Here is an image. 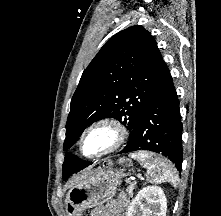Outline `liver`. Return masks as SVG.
<instances>
[{
    "instance_id": "obj_1",
    "label": "liver",
    "mask_w": 221,
    "mask_h": 216,
    "mask_svg": "<svg viewBox=\"0 0 221 216\" xmlns=\"http://www.w3.org/2000/svg\"><path fill=\"white\" fill-rule=\"evenodd\" d=\"M90 171H91L90 169H87L81 175H79V176L75 177L74 179H72L71 183L80 182L84 177H86L89 174Z\"/></svg>"
}]
</instances>
